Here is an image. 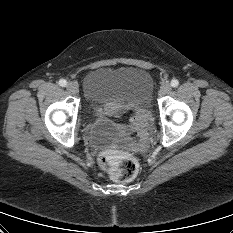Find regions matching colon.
Listing matches in <instances>:
<instances>
[{
    "label": "colon",
    "mask_w": 233,
    "mask_h": 233,
    "mask_svg": "<svg viewBox=\"0 0 233 233\" xmlns=\"http://www.w3.org/2000/svg\"><path fill=\"white\" fill-rule=\"evenodd\" d=\"M133 124L141 142L145 143L147 140V116L143 113L137 114ZM98 164L115 181L132 180L138 171L137 162L132 157L112 150L101 153L98 158Z\"/></svg>",
    "instance_id": "5ec220e1"
}]
</instances>
